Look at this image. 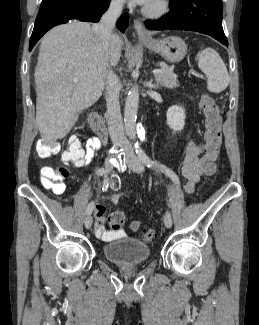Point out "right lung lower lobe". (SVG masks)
I'll use <instances>...</instances> for the list:
<instances>
[{
    "instance_id": "98d812e1",
    "label": "right lung lower lobe",
    "mask_w": 259,
    "mask_h": 325,
    "mask_svg": "<svg viewBox=\"0 0 259 325\" xmlns=\"http://www.w3.org/2000/svg\"><path fill=\"white\" fill-rule=\"evenodd\" d=\"M110 0H48L41 4L34 29L30 38L29 51L36 42L52 27L67 23L69 20L99 21L108 9ZM129 17L124 14L117 21V27L124 32Z\"/></svg>"
}]
</instances>
